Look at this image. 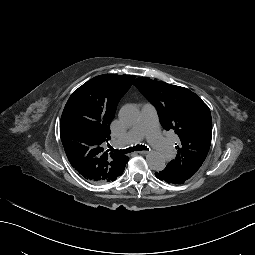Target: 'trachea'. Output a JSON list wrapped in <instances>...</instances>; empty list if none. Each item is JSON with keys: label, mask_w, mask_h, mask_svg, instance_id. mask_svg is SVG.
<instances>
[{"label": "trachea", "mask_w": 255, "mask_h": 255, "mask_svg": "<svg viewBox=\"0 0 255 255\" xmlns=\"http://www.w3.org/2000/svg\"><path fill=\"white\" fill-rule=\"evenodd\" d=\"M135 150L142 151V150H149V148L144 145H137L135 147H129L123 150H115L111 148V151L114 152L115 154H127V153L134 152Z\"/></svg>", "instance_id": "3493384b"}]
</instances>
